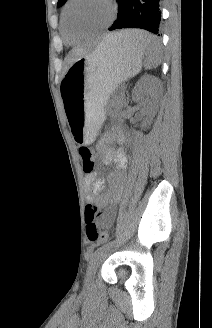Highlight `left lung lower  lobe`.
Masks as SVG:
<instances>
[{
	"label": "left lung lower lobe",
	"instance_id": "obj_1",
	"mask_svg": "<svg viewBox=\"0 0 212 328\" xmlns=\"http://www.w3.org/2000/svg\"><path fill=\"white\" fill-rule=\"evenodd\" d=\"M118 3L117 20L110 27V31L121 28H142L158 36L160 23V0H116ZM159 44L156 37L147 42V45Z\"/></svg>",
	"mask_w": 212,
	"mask_h": 328
}]
</instances>
